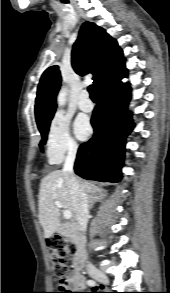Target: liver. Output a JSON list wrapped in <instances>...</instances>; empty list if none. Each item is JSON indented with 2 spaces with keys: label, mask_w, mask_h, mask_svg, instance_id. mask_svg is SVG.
Listing matches in <instances>:
<instances>
[{
  "label": "liver",
  "mask_w": 170,
  "mask_h": 293,
  "mask_svg": "<svg viewBox=\"0 0 170 293\" xmlns=\"http://www.w3.org/2000/svg\"><path fill=\"white\" fill-rule=\"evenodd\" d=\"M80 186L87 193L101 192L98 186L77 178ZM55 201L62 204V208L69 210L76 217L72 197L63 170H56L45 176L40 183L39 190V221L44 230L45 238H50L60 226V209Z\"/></svg>",
  "instance_id": "liver-1"
}]
</instances>
